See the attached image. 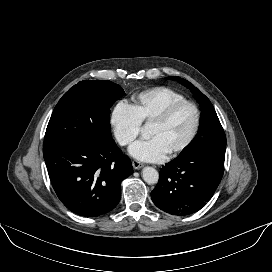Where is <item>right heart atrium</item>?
<instances>
[{"mask_svg":"<svg viewBox=\"0 0 272 272\" xmlns=\"http://www.w3.org/2000/svg\"><path fill=\"white\" fill-rule=\"evenodd\" d=\"M114 136L121 146H129L139 135L142 123L131 105L119 102L110 116Z\"/></svg>","mask_w":272,"mask_h":272,"instance_id":"1","label":"right heart atrium"}]
</instances>
